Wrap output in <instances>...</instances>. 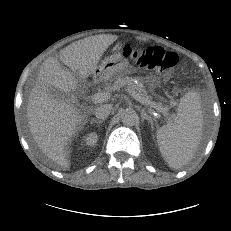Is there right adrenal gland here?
I'll use <instances>...</instances> for the list:
<instances>
[{
	"instance_id": "obj_1",
	"label": "right adrenal gland",
	"mask_w": 231,
	"mask_h": 231,
	"mask_svg": "<svg viewBox=\"0 0 231 231\" xmlns=\"http://www.w3.org/2000/svg\"><path fill=\"white\" fill-rule=\"evenodd\" d=\"M94 122L97 123V124H101V123L104 122V120H97V119H95V118L91 119V122H90V123L92 124V123H94Z\"/></svg>"
}]
</instances>
